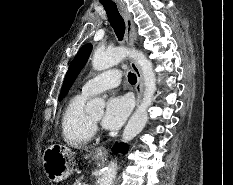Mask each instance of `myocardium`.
<instances>
[{"label":"myocardium","mask_w":233,"mask_h":185,"mask_svg":"<svg viewBox=\"0 0 233 185\" xmlns=\"http://www.w3.org/2000/svg\"><path fill=\"white\" fill-rule=\"evenodd\" d=\"M90 120H91V122H92L93 125H96V124H97V121L94 120L93 118L90 117Z\"/></svg>","instance_id":"1"}]
</instances>
